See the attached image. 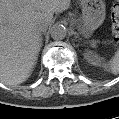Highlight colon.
Segmentation results:
<instances>
[{
	"label": "colon",
	"instance_id": "1",
	"mask_svg": "<svg viewBox=\"0 0 119 119\" xmlns=\"http://www.w3.org/2000/svg\"><path fill=\"white\" fill-rule=\"evenodd\" d=\"M112 33L115 40H119V3L115 2L111 8Z\"/></svg>",
	"mask_w": 119,
	"mask_h": 119
}]
</instances>
